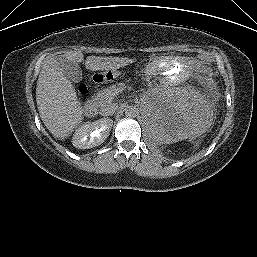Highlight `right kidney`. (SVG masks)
<instances>
[{
  "instance_id": "1",
  "label": "right kidney",
  "mask_w": 257,
  "mask_h": 257,
  "mask_svg": "<svg viewBox=\"0 0 257 257\" xmlns=\"http://www.w3.org/2000/svg\"><path fill=\"white\" fill-rule=\"evenodd\" d=\"M113 120L103 118L81 125L75 132L72 144L78 149H89L102 144L109 136Z\"/></svg>"
}]
</instances>
